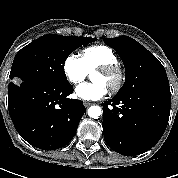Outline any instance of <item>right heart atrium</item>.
Returning a JSON list of instances; mask_svg holds the SVG:
<instances>
[{"instance_id":"d8ad5b80","label":"right heart atrium","mask_w":178,"mask_h":178,"mask_svg":"<svg viewBox=\"0 0 178 178\" xmlns=\"http://www.w3.org/2000/svg\"><path fill=\"white\" fill-rule=\"evenodd\" d=\"M64 74L69 82L78 84L88 75V71L80 57L69 55L63 63Z\"/></svg>"}]
</instances>
